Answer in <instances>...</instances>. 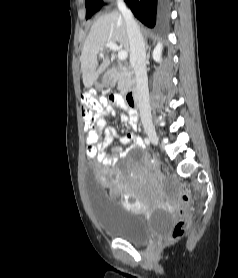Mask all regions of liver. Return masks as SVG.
I'll return each instance as SVG.
<instances>
[{"label":"liver","mask_w":238,"mask_h":278,"mask_svg":"<svg viewBox=\"0 0 238 278\" xmlns=\"http://www.w3.org/2000/svg\"><path fill=\"white\" fill-rule=\"evenodd\" d=\"M118 43L125 51H130V42L125 19L118 11H113L99 17L84 42L81 55V72L85 88H90L99 75L110 65L106 55L102 64L98 65V54L108 48L106 43Z\"/></svg>","instance_id":"liver-1"}]
</instances>
